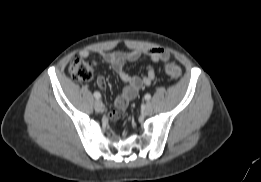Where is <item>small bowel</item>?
I'll list each match as a JSON object with an SVG mask.
<instances>
[{"mask_svg": "<svg viewBox=\"0 0 261 182\" xmlns=\"http://www.w3.org/2000/svg\"><path fill=\"white\" fill-rule=\"evenodd\" d=\"M80 55L84 58L90 57V53L87 51H82ZM99 55L105 63L111 65L119 78L125 83L121 93L114 100V109L107 113V116L111 120L119 119L125 112L129 101L137 96L139 90L143 86H149L155 79V71L151 65L146 66L145 73L139 76H131L127 73L125 64L135 62L142 56H146L156 64L165 62L169 59V53L161 47L132 51H100ZM92 64L94 66L99 65L95 59H92ZM97 84L101 89H105V78L99 76Z\"/></svg>", "mask_w": 261, "mask_h": 182, "instance_id": "c3829d8e", "label": "small bowel"}]
</instances>
